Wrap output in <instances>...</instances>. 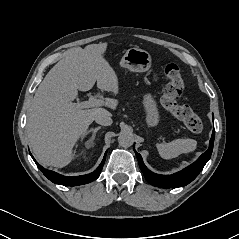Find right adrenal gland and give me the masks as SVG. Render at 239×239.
Wrapping results in <instances>:
<instances>
[{
    "mask_svg": "<svg viewBox=\"0 0 239 239\" xmlns=\"http://www.w3.org/2000/svg\"><path fill=\"white\" fill-rule=\"evenodd\" d=\"M101 129L100 126L96 127V128H90L89 130H87L86 134L92 132V137L90 140L87 141L86 144L90 143L91 145L93 144V141L95 139L96 133ZM91 145L86 146L87 148H89Z\"/></svg>",
    "mask_w": 239,
    "mask_h": 239,
    "instance_id": "1",
    "label": "right adrenal gland"
}]
</instances>
